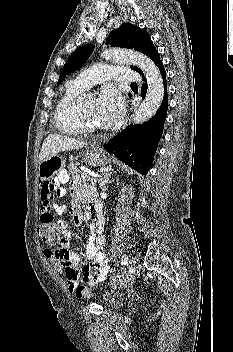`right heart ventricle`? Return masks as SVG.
<instances>
[{
	"mask_svg": "<svg viewBox=\"0 0 233 352\" xmlns=\"http://www.w3.org/2000/svg\"><path fill=\"white\" fill-rule=\"evenodd\" d=\"M84 90L74 81H69L65 85L64 92L58 101L54 114L55 124L66 135L76 136L83 131L79 119V106L76 100Z\"/></svg>",
	"mask_w": 233,
	"mask_h": 352,
	"instance_id": "right-heart-ventricle-1",
	"label": "right heart ventricle"
}]
</instances>
